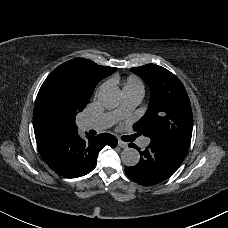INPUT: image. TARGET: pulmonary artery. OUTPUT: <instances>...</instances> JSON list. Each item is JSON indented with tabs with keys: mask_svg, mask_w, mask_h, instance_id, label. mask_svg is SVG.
Returning <instances> with one entry per match:
<instances>
[{
	"mask_svg": "<svg viewBox=\"0 0 228 228\" xmlns=\"http://www.w3.org/2000/svg\"><path fill=\"white\" fill-rule=\"evenodd\" d=\"M142 89L139 86H134L129 89L127 95L125 96L124 109L127 112H132L141 101ZM113 120L111 115H105L101 117H93L90 120V126L93 129H107L112 127Z\"/></svg>",
	"mask_w": 228,
	"mask_h": 228,
	"instance_id": "obj_1",
	"label": "pulmonary artery"
}]
</instances>
